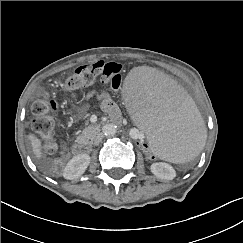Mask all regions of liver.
Here are the masks:
<instances>
[{
    "mask_svg": "<svg viewBox=\"0 0 243 243\" xmlns=\"http://www.w3.org/2000/svg\"><path fill=\"white\" fill-rule=\"evenodd\" d=\"M28 139L31 143L32 151L36 158H42V142L39 138H37L34 134L30 133L28 135Z\"/></svg>",
    "mask_w": 243,
    "mask_h": 243,
    "instance_id": "obj_1",
    "label": "liver"
}]
</instances>
